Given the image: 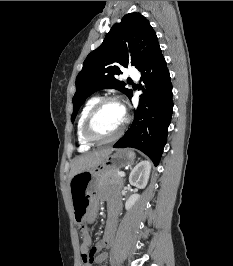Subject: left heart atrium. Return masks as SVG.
Returning <instances> with one entry per match:
<instances>
[{
  "label": "left heart atrium",
  "mask_w": 233,
  "mask_h": 266,
  "mask_svg": "<svg viewBox=\"0 0 233 266\" xmlns=\"http://www.w3.org/2000/svg\"><path fill=\"white\" fill-rule=\"evenodd\" d=\"M122 110H123V113H124V116H125V108L122 106Z\"/></svg>",
  "instance_id": "39dd6f15"
}]
</instances>
